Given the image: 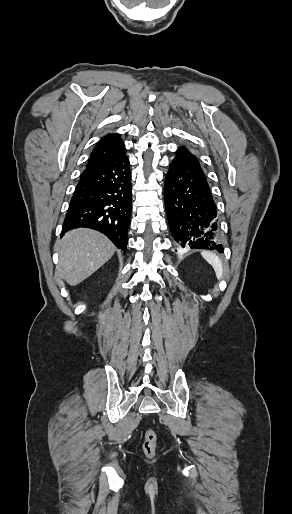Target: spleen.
Masks as SVG:
<instances>
[{"mask_svg":"<svg viewBox=\"0 0 292 514\" xmlns=\"http://www.w3.org/2000/svg\"><path fill=\"white\" fill-rule=\"evenodd\" d=\"M201 256H203L204 260H206L208 264H211V266H213L218 280H221L223 276V268L220 258H218L216 254H212V252H206V250H204V252H201Z\"/></svg>","mask_w":292,"mask_h":514,"instance_id":"obj_1","label":"spleen"}]
</instances>
